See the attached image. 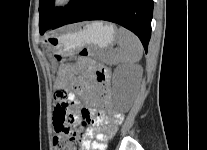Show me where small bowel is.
Wrapping results in <instances>:
<instances>
[{
  "mask_svg": "<svg viewBox=\"0 0 207 150\" xmlns=\"http://www.w3.org/2000/svg\"><path fill=\"white\" fill-rule=\"evenodd\" d=\"M77 69L82 75L77 77L69 70L60 86L63 87L70 78L76 94L85 102L79 112L70 111L72 120H76L79 114L81 117L87 114L94 121L95 127L86 132L82 150H105L106 142L123 121V115L113 109L109 70L88 58H80Z\"/></svg>",
  "mask_w": 207,
  "mask_h": 150,
  "instance_id": "small-bowel-1",
  "label": "small bowel"
}]
</instances>
